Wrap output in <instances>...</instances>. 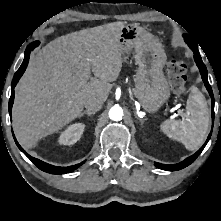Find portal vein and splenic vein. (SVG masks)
<instances>
[{
	"label": "portal vein and splenic vein",
	"mask_w": 221,
	"mask_h": 221,
	"mask_svg": "<svg viewBox=\"0 0 221 221\" xmlns=\"http://www.w3.org/2000/svg\"><path fill=\"white\" fill-rule=\"evenodd\" d=\"M172 109H173L174 111H175V110H177V108H176V107H174V108H172Z\"/></svg>",
	"instance_id": "18ae733b"
}]
</instances>
